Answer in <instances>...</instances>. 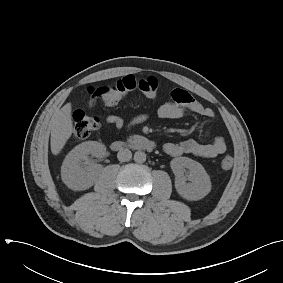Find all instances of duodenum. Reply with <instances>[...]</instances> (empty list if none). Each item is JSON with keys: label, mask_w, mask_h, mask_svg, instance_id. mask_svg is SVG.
Returning a JSON list of instances; mask_svg holds the SVG:
<instances>
[{"label": "duodenum", "mask_w": 283, "mask_h": 283, "mask_svg": "<svg viewBox=\"0 0 283 283\" xmlns=\"http://www.w3.org/2000/svg\"><path fill=\"white\" fill-rule=\"evenodd\" d=\"M155 148V143L145 137H135L129 140H116L111 143V149L113 151H121L123 149H135L151 152Z\"/></svg>", "instance_id": "1"}]
</instances>
